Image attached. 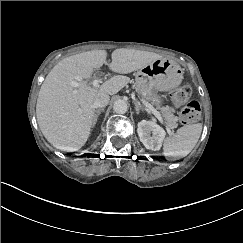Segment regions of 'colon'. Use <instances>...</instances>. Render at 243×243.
<instances>
[{"label": "colon", "mask_w": 243, "mask_h": 243, "mask_svg": "<svg viewBox=\"0 0 243 243\" xmlns=\"http://www.w3.org/2000/svg\"><path fill=\"white\" fill-rule=\"evenodd\" d=\"M191 89L188 85L177 88L172 93V103L175 108H180L181 122L194 123L201 118V108L198 102L189 101Z\"/></svg>", "instance_id": "5ec220e1"}]
</instances>
